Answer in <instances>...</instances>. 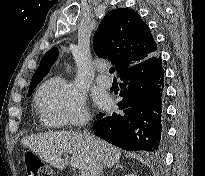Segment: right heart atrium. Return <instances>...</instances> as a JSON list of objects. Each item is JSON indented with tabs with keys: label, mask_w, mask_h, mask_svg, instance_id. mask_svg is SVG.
I'll return each mask as SVG.
<instances>
[{
	"label": "right heart atrium",
	"mask_w": 205,
	"mask_h": 176,
	"mask_svg": "<svg viewBox=\"0 0 205 176\" xmlns=\"http://www.w3.org/2000/svg\"><path fill=\"white\" fill-rule=\"evenodd\" d=\"M35 101L43 122L51 128L80 125L88 117L83 93L58 77L40 86Z\"/></svg>",
	"instance_id": "1"
}]
</instances>
